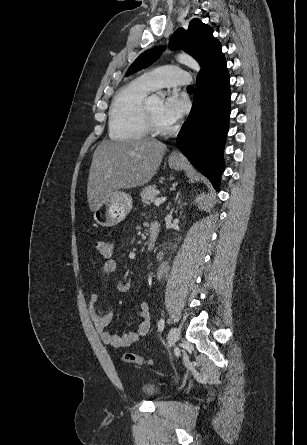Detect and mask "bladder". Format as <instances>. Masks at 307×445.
<instances>
[{
	"instance_id": "bladder-1",
	"label": "bladder",
	"mask_w": 307,
	"mask_h": 445,
	"mask_svg": "<svg viewBox=\"0 0 307 445\" xmlns=\"http://www.w3.org/2000/svg\"><path fill=\"white\" fill-rule=\"evenodd\" d=\"M141 391L147 398L157 399L162 395V390L155 384L146 383L141 387Z\"/></svg>"
}]
</instances>
